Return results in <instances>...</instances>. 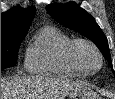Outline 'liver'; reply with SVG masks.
I'll return each instance as SVG.
<instances>
[{
    "instance_id": "6515ba94",
    "label": "liver",
    "mask_w": 115,
    "mask_h": 99,
    "mask_svg": "<svg viewBox=\"0 0 115 99\" xmlns=\"http://www.w3.org/2000/svg\"><path fill=\"white\" fill-rule=\"evenodd\" d=\"M84 85L58 77H15L1 80V99H62Z\"/></svg>"
}]
</instances>
